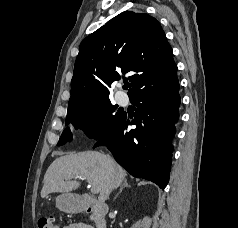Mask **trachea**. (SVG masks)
Here are the masks:
<instances>
[{"mask_svg":"<svg viewBox=\"0 0 238 228\" xmlns=\"http://www.w3.org/2000/svg\"><path fill=\"white\" fill-rule=\"evenodd\" d=\"M128 87H129L128 84L124 85V89H128Z\"/></svg>","mask_w":238,"mask_h":228,"instance_id":"1","label":"trachea"}]
</instances>
